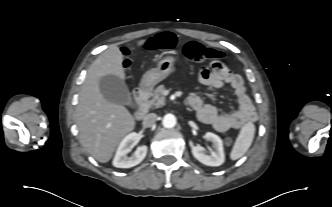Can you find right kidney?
<instances>
[{"label": "right kidney", "instance_id": "1", "mask_svg": "<svg viewBox=\"0 0 332 207\" xmlns=\"http://www.w3.org/2000/svg\"><path fill=\"white\" fill-rule=\"evenodd\" d=\"M139 139V135L132 132L121 141L113 159V166L117 168H131L143 161L147 154V146L145 145L137 148L132 156H127L131 150V147L135 145Z\"/></svg>", "mask_w": 332, "mask_h": 207}]
</instances>
